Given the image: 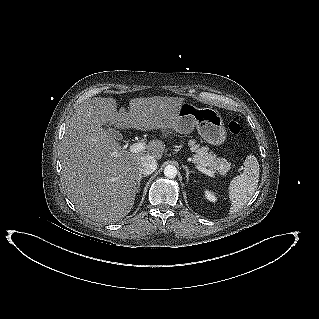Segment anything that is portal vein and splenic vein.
<instances>
[{
  "label": "portal vein and splenic vein",
  "instance_id": "portal-vein-and-splenic-vein-1",
  "mask_svg": "<svg viewBox=\"0 0 319 319\" xmlns=\"http://www.w3.org/2000/svg\"><path fill=\"white\" fill-rule=\"evenodd\" d=\"M145 148H146V146H145V143H144V142H137V143H134V144H132V145L130 146V152H132V153H137V152H140V151L145 150ZM196 168H197L200 172H202V173H204V174H206V175H208V176H210V177H214V173H213L211 170L206 169V168H203V167H201V166H199V165H197Z\"/></svg>",
  "mask_w": 319,
  "mask_h": 319
}]
</instances>
